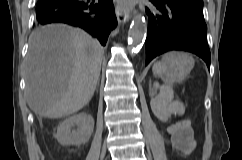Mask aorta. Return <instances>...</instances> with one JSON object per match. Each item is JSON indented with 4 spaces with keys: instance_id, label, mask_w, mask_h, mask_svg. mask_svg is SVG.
<instances>
[{
    "instance_id": "obj_1",
    "label": "aorta",
    "mask_w": 242,
    "mask_h": 160,
    "mask_svg": "<svg viewBox=\"0 0 242 160\" xmlns=\"http://www.w3.org/2000/svg\"><path fill=\"white\" fill-rule=\"evenodd\" d=\"M147 23L145 17L141 14H137L129 29V41L131 48L136 49L142 45L146 37Z\"/></svg>"
}]
</instances>
